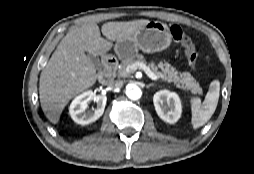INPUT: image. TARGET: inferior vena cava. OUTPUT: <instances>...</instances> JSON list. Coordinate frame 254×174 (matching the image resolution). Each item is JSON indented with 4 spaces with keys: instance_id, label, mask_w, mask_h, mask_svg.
Listing matches in <instances>:
<instances>
[{
    "instance_id": "inferior-vena-cava-1",
    "label": "inferior vena cava",
    "mask_w": 254,
    "mask_h": 174,
    "mask_svg": "<svg viewBox=\"0 0 254 174\" xmlns=\"http://www.w3.org/2000/svg\"><path fill=\"white\" fill-rule=\"evenodd\" d=\"M110 86H112L114 88H120V87L123 86V81H121V80H115V81L110 83Z\"/></svg>"
}]
</instances>
